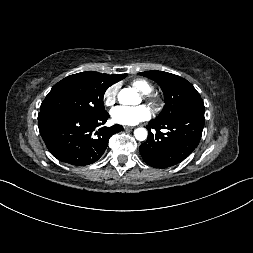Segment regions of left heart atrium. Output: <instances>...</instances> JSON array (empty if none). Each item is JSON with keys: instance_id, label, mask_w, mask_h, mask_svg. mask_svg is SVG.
<instances>
[{"instance_id": "39dd6f15", "label": "left heart atrium", "mask_w": 253, "mask_h": 253, "mask_svg": "<svg viewBox=\"0 0 253 253\" xmlns=\"http://www.w3.org/2000/svg\"><path fill=\"white\" fill-rule=\"evenodd\" d=\"M152 111L147 105L136 107L118 106L111 112L112 120L121 125H136L151 118Z\"/></svg>"}]
</instances>
